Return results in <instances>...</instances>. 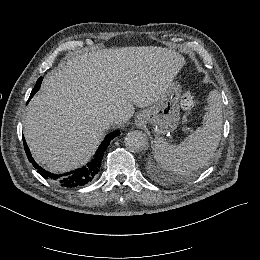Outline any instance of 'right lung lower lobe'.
Instances as JSON below:
<instances>
[{
  "label": "right lung lower lobe",
  "instance_id": "obj_1",
  "mask_svg": "<svg viewBox=\"0 0 260 260\" xmlns=\"http://www.w3.org/2000/svg\"><path fill=\"white\" fill-rule=\"evenodd\" d=\"M41 82H42V77L38 79L34 89L31 92L29 100L39 90ZM119 135H120V131L118 130L108 134L105 137L104 141L99 146L98 150L95 153L94 159L90 163H88L86 166L82 168L76 169L75 171H71L65 174H54L43 170L32 158L30 150L24 138H23V143L29 161L38 170V173L40 175H42L45 179H49L57 183V185L61 187L75 188V187L84 186L85 184L89 183L98 174L105 149L108 147L110 141Z\"/></svg>",
  "mask_w": 260,
  "mask_h": 260
}]
</instances>
